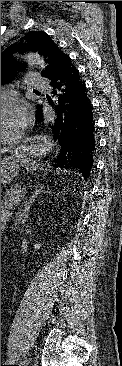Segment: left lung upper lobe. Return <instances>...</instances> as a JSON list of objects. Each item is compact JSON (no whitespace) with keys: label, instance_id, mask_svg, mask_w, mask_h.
Masks as SVG:
<instances>
[{"label":"left lung upper lobe","instance_id":"left-lung-upper-lobe-1","mask_svg":"<svg viewBox=\"0 0 122 366\" xmlns=\"http://www.w3.org/2000/svg\"><path fill=\"white\" fill-rule=\"evenodd\" d=\"M27 42L25 44L16 45L14 49L19 51L33 50L38 51L39 54L44 55L46 62L49 63L46 70L42 72V76L47 77L52 71H54L63 58L67 55L61 52L56 46L53 40L42 31H31L26 36ZM16 65L9 55V49L1 53V83L13 78L12 66Z\"/></svg>","mask_w":122,"mask_h":366}]
</instances>
